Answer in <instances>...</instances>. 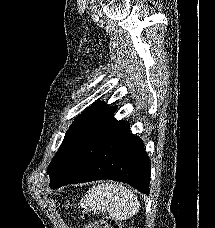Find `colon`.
<instances>
[{
	"label": "colon",
	"mask_w": 215,
	"mask_h": 228,
	"mask_svg": "<svg viewBox=\"0 0 215 228\" xmlns=\"http://www.w3.org/2000/svg\"><path fill=\"white\" fill-rule=\"evenodd\" d=\"M85 228H119V226L114 218L102 216L94 225H86Z\"/></svg>",
	"instance_id": "obj_1"
}]
</instances>
